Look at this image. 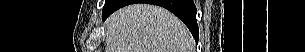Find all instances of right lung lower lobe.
<instances>
[{
	"mask_svg": "<svg viewBox=\"0 0 305 52\" xmlns=\"http://www.w3.org/2000/svg\"><path fill=\"white\" fill-rule=\"evenodd\" d=\"M102 17L105 20L115 10L132 3H149L162 6L180 18L198 42L199 29L196 22V7L193 0H106Z\"/></svg>",
	"mask_w": 305,
	"mask_h": 52,
	"instance_id": "1",
	"label": "right lung lower lobe"
}]
</instances>
